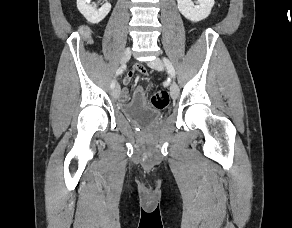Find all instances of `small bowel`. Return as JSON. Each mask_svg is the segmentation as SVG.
Listing matches in <instances>:
<instances>
[{"label": "small bowel", "mask_w": 292, "mask_h": 228, "mask_svg": "<svg viewBox=\"0 0 292 228\" xmlns=\"http://www.w3.org/2000/svg\"><path fill=\"white\" fill-rule=\"evenodd\" d=\"M135 73L146 76L147 70L143 65L135 64L132 70L123 79V83L125 85L129 84ZM120 100L124 103L131 101V103L135 105H144L146 102V88L143 86L136 87L131 97L128 90L123 89L120 95Z\"/></svg>", "instance_id": "obj_1"}]
</instances>
